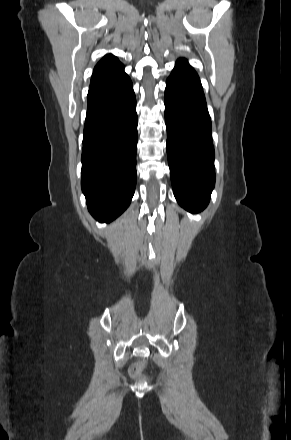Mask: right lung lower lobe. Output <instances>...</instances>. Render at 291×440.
I'll return each mask as SVG.
<instances>
[{
    "label": "right lung lower lobe",
    "instance_id": "obj_1",
    "mask_svg": "<svg viewBox=\"0 0 291 440\" xmlns=\"http://www.w3.org/2000/svg\"><path fill=\"white\" fill-rule=\"evenodd\" d=\"M87 99L81 187L90 213L110 222L136 186V97L124 66L93 73Z\"/></svg>",
    "mask_w": 291,
    "mask_h": 440
}]
</instances>
